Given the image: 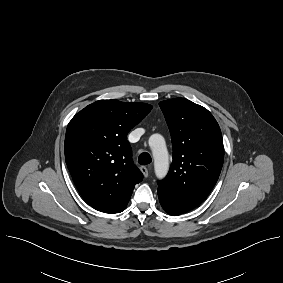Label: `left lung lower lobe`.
Masks as SVG:
<instances>
[{"mask_svg":"<svg viewBox=\"0 0 283 283\" xmlns=\"http://www.w3.org/2000/svg\"><path fill=\"white\" fill-rule=\"evenodd\" d=\"M158 197H159V201H160L163 209L168 214L173 215V216L182 214V212L178 211L173 206H171L169 200L166 198V196L164 194H162L161 192H158Z\"/></svg>","mask_w":283,"mask_h":283,"instance_id":"0a47b994","label":"left lung lower lobe"}]
</instances>
